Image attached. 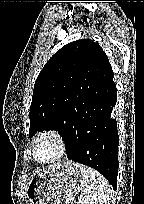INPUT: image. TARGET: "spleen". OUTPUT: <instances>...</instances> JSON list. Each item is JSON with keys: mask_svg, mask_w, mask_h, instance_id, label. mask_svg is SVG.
I'll list each match as a JSON object with an SVG mask.
<instances>
[{"mask_svg": "<svg viewBox=\"0 0 144 204\" xmlns=\"http://www.w3.org/2000/svg\"><path fill=\"white\" fill-rule=\"evenodd\" d=\"M80 204H110L112 189L107 179L98 171L84 167Z\"/></svg>", "mask_w": 144, "mask_h": 204, "instance_id": "obj_1", "label": "spleen"}]
</instances>
